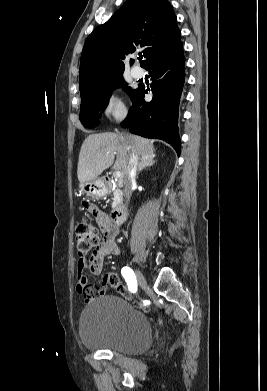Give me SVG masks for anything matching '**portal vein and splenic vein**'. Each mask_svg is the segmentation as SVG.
I'll use <instances>...</instances> for the list:
<instances>
[{
	"label": "portal vein and splenic vein",
	"mask_w": 267,
	"mask_h": 391,
	"mask_svg": "<svg viewBox=\"0 0 267 391\" xmlns=\"http://www.w3.org/2000/svg\"><path fill=\"white\" fill-rule=\"evenodd\" d=\"M113 176L116 177V178H120L121 177V172L120 171H115Z\"/></svg>",
	"instance_id": "portal-vein-and-splenic-vein-1"
}]
</instances>
